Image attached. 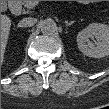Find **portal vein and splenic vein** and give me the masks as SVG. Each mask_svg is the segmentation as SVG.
<instances>
[{"label": "portal vein and splenic vein", "mask_w": 109, "mask_h": 109, "mask_svg": "<svg viewBox=\"0 0 109 109\" xmlns=\"http://www.w3.org/2000/svg\"><path fill=\"white\" fill-rule=\"evenodd\" d=\"M38 4H39V1H29L27 7L29 9H31V8L35 7L36 5H38Z\"/></svg>", "instance_id": "portal-vein-and-splenic-vein-1"}]
</instances>
